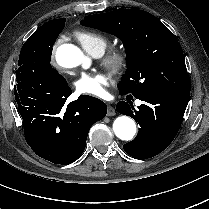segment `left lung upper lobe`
<instances>
[{
    "instance_id": "1",
    "label": "left lung upper lobe",
    "mask_w": 209,
    "mask_h": 209,
    "mask_svg": "<svg viewBox=\"0 0 209 209\" xmlns=\"http://www.w3.org/2000/svg\"><path fill=\"white\" fill-rule=\"evenodd\" d=\"M82 25L114 34L126 49V73L120 94L140 95L153 88L190 93L182 48L174 34L143 10L122 9L85 16Z\"/></svg>"
}]
</instances>
